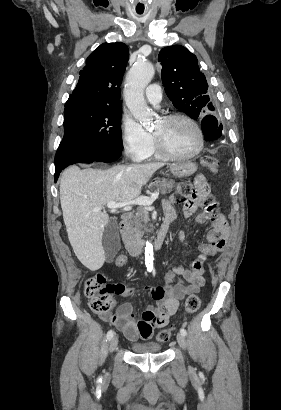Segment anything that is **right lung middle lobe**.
Listing matches in <instances>:
<instances>
[{
    "mask_svg": "<svg viewBox=\"0 0 281 410\" xmlns=\"http://www.w3.org/2000/svg\"><path fill=\"white\" fill-rule=\"evenodd\" d=\"M64 137L55 161L66 154L91 150L122 151L121 108L73 104L65 106Z\"/></svg>",
    "mask_w": 281,
    "mask_h": 410,
    "instance_id": "dd1d6c3e",
    "label": "right lung middle lobe"
}]
</instances>
